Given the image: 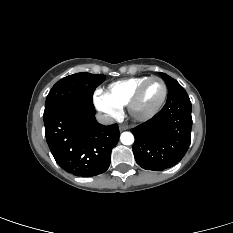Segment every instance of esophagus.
Wrapping results in <instances>:
<instances>
[{
    "label": "esophagus",
    "mask_w": 233,
    "mask_h": 233,
    "mask_svg": "<svg viewBox=\"0 0 233 233\" xmlns=\"http://www.w3.org/2000/svg\"><path fill=\"white\" fill-rule=\"evenodd\" d=\"M126 129H127V127L124 126V125H120V126H119V130H120V131H124V130H126Z\"/></svg>",
    "instance_id": "esophagus-1"
}]
</instances>
